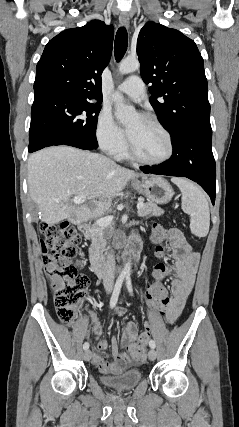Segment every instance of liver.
<instances>
[{
    "label": "liver",
    "instance_id": "liver-1",
    "mask_svg": "<svg viewBox=\"0 0 239 427\" xmlns=\"http://www.w3.org/2000/svg\"><path fill=\"white\" fill-rule=\"evenodd\" d=\"M136 177L110 158L69 146L48 147L28 159L29 195L49 225L64 219L79 225L103 216ZM73 196H85L89 202L76 204Z\"/></svg>",
    "mask_w": 239,
    "mask_h": 427
}]
</instances>
